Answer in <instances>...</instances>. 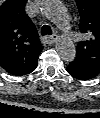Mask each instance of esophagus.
<instances>
[{
    "instance_id": "esophagus-1",
    "label": "esophagus",
    "mask_w": 100,
    "mask_h": 118,
    "mask_svg": "<svg viewBox=\"0 0 100 118\" xmlns=\"http://www.w3.org/2000/svg\"><path fill=\"white\" fill-rule=\"evenodd\" d=\"M58 39V35L56 33H54L52 36L50 37H44L43 38V41L46 43V44H53L56 42V40Z\"/></svg>"
}]
</instances>
